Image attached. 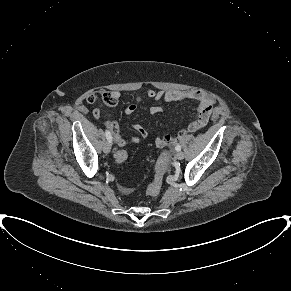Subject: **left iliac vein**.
<instances>
[{"label": "left iliac vein", "mask_w": 291, "mask_h": 291, "mask_svg": "<svg viewBox=\"0 0 291 291\" xmlns=\"http://www.w3.org/2000/svg\"><path fill=\"white\" fill-rule=\"evenodd\" d=\"M176 158H177L178 160H182V159L184 158V153H183L182 151H178V152L176 153Z\"/></svg>", "instance_id": "left-iliac-vein-1"}]
</instances>
